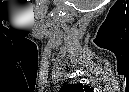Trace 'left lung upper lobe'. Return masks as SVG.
I'll list each match as a JSON object with an SVG mask.
<instances>
[{
  "instance_id": "obj_1",
  "label": "left lung upper lobe",
  "mask_w": 129,
  "mask_h": 92,
  "mask_svg": "<svg viewBox=\"0 0 129 92\" xmlns=\"http://www.w3.org/2000/svg\"><path fill=\"white\" fill-rule=\"evenodd\" d=\"M92 90L88 86H83V84H69L63 86L60 92H91Z\"/></svg>"
}]
</instances>
